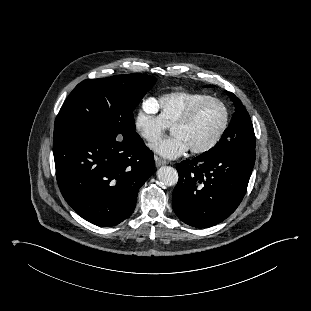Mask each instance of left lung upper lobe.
I'll list each match as a JSON object with an SVG mask.
<instances>
[{
    "label": "left lung upper lobe",
    "mask_w": 311,
    "mask_h": 311,
    "mask_svg": "<svg viewBox=\"0 0 311 311\" xmlns=\"http://www.w3.org/2000/svg\"><path fill=\"white\" fill-rule=\"evenodd\" d=\"M229 95L235 107L233 119L219 143L205 154L216 155L237 148L255 149V135L250 116L242 102L234 94Z\"/></svg>",
    "instance_id": "1"
}]
</instances>
